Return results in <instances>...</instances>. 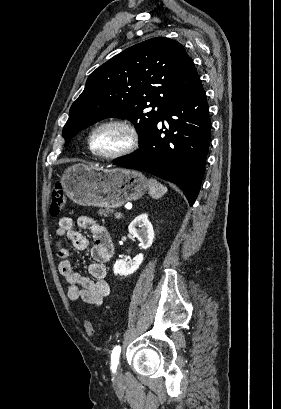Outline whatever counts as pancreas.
Segmentation results:
<instances>
[{
  "instance_id": "cf45deb5",
  "label": "pancreas",
  "mask_w": 281,
  "mask_h": 409,
  "mask_svg": "<svg viewBox=\"0 0 281 409\" xmlns=\"http://www.w3.org/2000/svg\"><path fill=\"white\" fill-rule=\"evenodd\" d=\"M107 213H110V209H106V211H102V215H104V217H107Z\"/></svg>"
}]
</instances>
